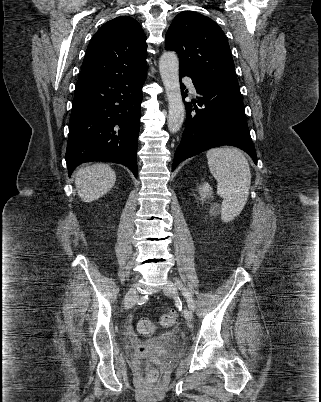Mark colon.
<instances>
[{
	"mask_svg": "<svg viewBox=\"0 0 321 402\" xmlns=\"http://www.w3.org/2000/svg\"><path fill=\"white\" fill-rule=\"evenodd\" d=\"M178 319L177 311L173 310L169 313L164 314L161 317V324L165 327L173 326ZM137 329L141 334H151L155 330L154 323L148 318H141L137 322ZM146 376L149 382H154L157 379L158 373L155 369L148 367L146 369Z\"/></svg>",
	"mask_w": 321,
	"mask_h": 402,
	"instance_id": "colon-1",
	"label": "colon"
}]
</instances>
